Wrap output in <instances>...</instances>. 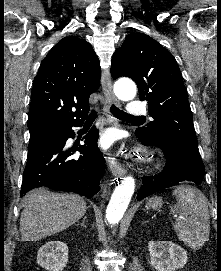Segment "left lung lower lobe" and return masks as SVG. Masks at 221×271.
Listing matches in <instances>:
<instances>
[{
    "mask_svg": "<svg viewBox=\"0 0 221 271\" xmlns=\"http://www.w3.org/2000/svg\"><path fill=\"white\" fill-rule=\"evenodd\" d=\"M136 135L142 144L161 148L166 157V165L161 173L143 177L137 200L178 185L181 181L202 182L205 168L198 149L166 133L155 137H147L141 132H136Z\"/></svg>",
    "mask_w": 221,
    "mask_h": 271,
    "instance_id": "obj_1",
    "label": "left lung lower lobe"
}]
</instances>
